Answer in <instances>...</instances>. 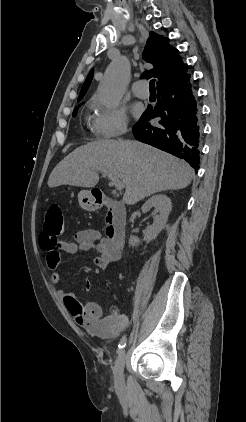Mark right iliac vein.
Instances as JSON below:
<instances>
[{
    "label": "right iliac vein",
    "instance_id": "1",
    "mask_svg": "<svg viewBox=\"0 0 246 422\" xmlns=\"http://www.w3.org/2000/svg\"><path fill=\"white\" fill-rule=\"evenodd\" d=\"M126 353L125 350H121L114 366L113 374H114V382L115 386L118 390H121L124 385V365H125Z\"/></svg>",
    "mask_w": 246,
    "mask_h": 422
}]
</instances>
